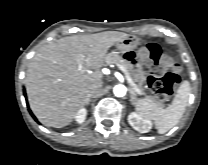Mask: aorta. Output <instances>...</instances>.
<instances>
[{
	"mask_svg": "<svg viewBox=\"0 0 208 165\" xmlns=\"http://www.w3.org/2000/svg\"><path fill=\"white\" fill-rule=\"evenodd\" d=\"M127 88L123 84L115 85L113 88V93L116 97H123L126 95Z\"/></svg>",
	"mask_w": 208,
	"mask_h": 165,
	"instance_id": "obj_1",
	"label": "aorta"
}]
</instances>
